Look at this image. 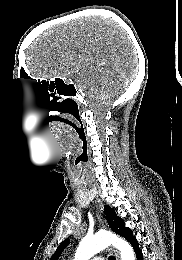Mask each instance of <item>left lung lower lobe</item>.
I'll return each instance as SVG.
<instances>
[{
  "instance_id": "0a47b994",
  "label": "left lung lower lobe",
  "mask_w": 182,
  "mask_h": 260,
  "mask_svg": "<svg viewBox=\"0 0 182 260\" xmlns=\"http://www.w3.org/2000/svg\"><path fill=\"white\" fill-rule=\"evenodd\" d=\"M124 238L127 239L135 249V252L137 254V260H143L142 251L139 248L137 239L133 236L132 230H130Z\"/></svg>"
}]
</instances>
